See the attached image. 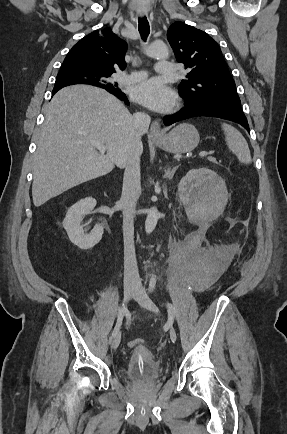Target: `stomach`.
Here are the masks:
<instances>
[{"instance_id": "0dacf381", "label": "stomach", "mask_w": 287, "mask_h": 434, "mask_svg": "<svg viewBox=\"0 0 287 434\" xmlns=\"http://www.w3.org/2000/svg\"><path fill=\"white\" fill-rule=\"evenodd\" d=\"M199 140L197 129L191 124L182 123L153 142L164 151L177 154L192 151L199 144Z\"/></svg>"}]
</instances>
